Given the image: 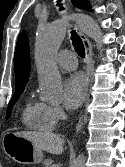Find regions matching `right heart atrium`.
Instances as JSON below:
<instances>
[{
  "instance_id": "right-heart-atrium-1",
  "label": "right heart atrium",
  "mask_w": 125,
  "mask_h": 167,
  "mask_svg": "<svg viewBox=\"0 0 125 167\" xmlns=\"http://www.w3.org/2000/svg\"><path fill=\"white\" fill-rule=\"evenodd\" d=\"M51 119L55 124L61 122L64 118V113L62 109L58 106H49Z\"/></svg>"
}]
</instances>
